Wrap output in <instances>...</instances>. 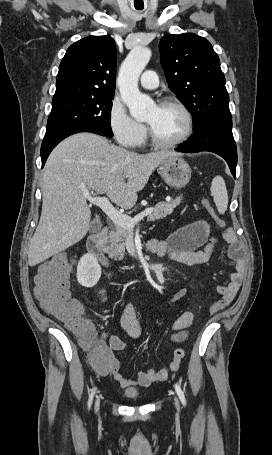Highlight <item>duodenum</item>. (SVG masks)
Instances as JSON below:
<instances>
[{"mask_svg": "<svg viewBox=\"0 0 272 455\" xmlns=\"http://www.w3.org/2000/svg\"><path fill=\"white\" fill-rule=\"evenodd\" d=\"M108 228L102 227L97 232L91 234L86 241V248L89 253L95 256L105 267L112 269V260L106 249V239ZM148 248L150 245L148 243Z\"/></svg>", "mask_w": 272, "mask_h": 455, "instance_id": "obj_1", "label": "duodenum"}]
</instances>
